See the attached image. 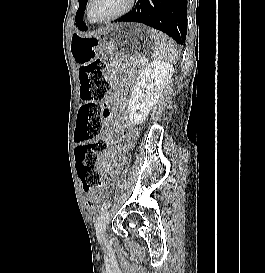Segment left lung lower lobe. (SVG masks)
Listing matches in <instances>:
<instances>
[{
    "mask_svg": "<svg viewBox=\"0 0 265 273\" xmlns=\"http://www.w3.org/2000/svg\"><path fill=\"white\" fill-rule=\"evenodd\" d=\"M117 21L143 23L163 31L178 44L185 45L187 0H137L135 8ZM80 30L86 31V25Z\"/></svg>",
    "mask_w": 265,
    "mask_h": 273,
    "instance_id": "obj_1",
    "label": "left lung lower lobe"
}]
</instances>
